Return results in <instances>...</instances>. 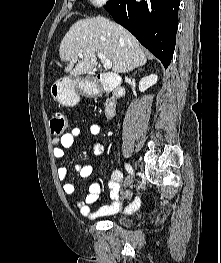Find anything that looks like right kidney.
I'll list each match as a JSON object with an SVG mask.
<instances>
[{
  "instance_id": "ca27d5eb",
  "label": "right kidney",
  "mask_w": 221,
  "mask_h": 263,
  "mask_svg": "<svg viewBox=\"0 0 221 263\" xmlns=\"http://www.w3.org/2000/svg\"><path fill=\"white\" fill-rule=\"evenodd\" d=\"M157 80H158V76L156 74H151L149 76L143 77L139 82L140 92H144L149 87L156 84Z\"/></svg>"
}]
</instances>
